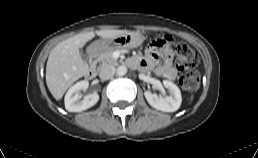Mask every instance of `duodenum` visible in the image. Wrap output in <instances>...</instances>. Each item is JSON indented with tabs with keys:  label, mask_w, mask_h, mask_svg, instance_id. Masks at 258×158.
Returning <instances> with one entry per match:
<instances>
[{
	"label": "duodenum",
	"mask_w": 258,
	"mask_h": 158,
	"mask_svg": "<svg viewBox=\"0 0 258 158\" xmlns=\"http://www.w3.org/2000/svg\"><path fill=\"white\" fill-rule=\"evenodd\" d=\"M102 53L101 47H94L93 50L90 53L89 61H90V66L87 70V78L92 79L96 76L97 74V67L96 63Z\"/></svg>",
	"instance_id": "obj_1"
}]
</instances>
